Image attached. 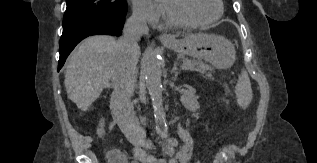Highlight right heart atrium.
I'll use <instances>...</instances> for the list:
<instances>
[{
  "label": "right heart atrium",
  "instance_id": "obj_1",
  "mask_svg": "<svg viewBox=\"0 0 317 163\" xmlns=\"http://www.w3.org/2000/svg\"><path fill=\"white\" fill-rule=\"evenodd\" d=\"M132 13L138 20L155 25L162 17V7L153 0H130Z\"/></svg>",
  "mask_w": 317,
  "mask_h": 163
}]
</instances>
